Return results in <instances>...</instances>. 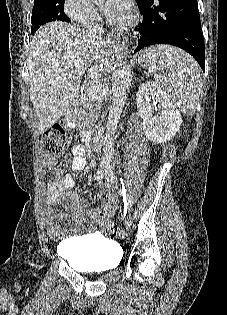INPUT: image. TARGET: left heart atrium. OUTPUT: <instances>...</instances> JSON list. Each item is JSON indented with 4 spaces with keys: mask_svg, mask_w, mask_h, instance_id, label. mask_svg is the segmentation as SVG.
Listing matches in <instances>:
<instances>
[{
    "mask_svg": "<svg viewBox=\"0 0 227 315\" xmlns=\"http://www.w3.org/2000/svg\"><path fill=\"white\" fill-rule=\"evenodd\" d=\"M131 0H103L102 10L114 23L123 24L130 19Z\"/></svg>",
    "mask_w": 227,
    "mask_h": 315,
    "instance_id": "1",
    "label": "left heart atrium"
}]
</instances>
